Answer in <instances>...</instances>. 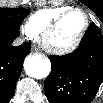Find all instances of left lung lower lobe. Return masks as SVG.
Returning <instances> with one entry per match:
<instances>
[{"label":"left lung lower lobe","instance_id":"1","mask_svg":"<svg viewBox=\"0 0 103 103\" xmlns=\"http://www.w3.org/2000/svg\"><path fill=\"white\" fill-rule=\"evenodd\" d=\"M52 69L45 80L50 103H90L103 79V37L91 23L79 48L64 56L50 55Z\"/></svg>","mask_w":103,"mask_h":103}]
</instances>
